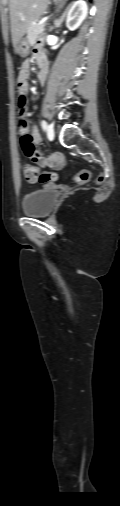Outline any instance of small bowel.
I'll return each instance as SVG.
<instances>
[{"label": "small bowel", "mask_w": 120, "mask_h": 506, "mask_svg": "<svg viewBox=\"0 0 120 506\" xmlns=\"http://www.w3.org/2000/svg\"><path fill=\"white\" fill-rule=\"evenodd\" d=\"M41 56V57H44L45 58V52L44 50L41 48V46H36L33 50V59L38 63L37 61V57L38 56ZM39 67L41 66L40 63H38ZM43 67H44V77L43 78H39V74H40V70H39V73H38V78H39V82L41 85H44L45 82H46V76H47V62H46V58H45V61L44 63L42 64ZM30 66H31V62L30 60H26L23 62V64L21 65V68H20V72H19V75H18V81H21L23 83V86H24V89L26 91L27 89V78L29 77L30 75ZM41 69V67H40ZM26 132L32 136L33 138V141H34V144L37 146L39 143H40V134H39V131L36 127H32V128H29L28 126L26 127ZM34 159L36 161L39 162V164L42 166V167H54V168H60L62 167L63 163H64V157L62 154L60 153H55V154H50V155H47V154H44L42 151L39 150V156L37 157H34Z\"/></svg>", "instance_id": "1"}]
</instances>
